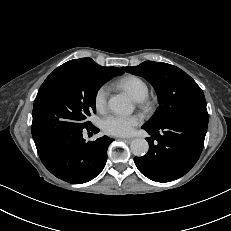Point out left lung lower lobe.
<instances>
[{"label":"left lung lower lobe","instance_id":"obj_1","mask_svg":"<svg viewBox=\"0 0 231 231\" xmlns=\"http://www.w3.org/2000/svg\"><path fill=\"white\" fill-rule=\"evenodd\" d=\"M208 120L207 111H194L159 126L143 125L142 128L151 135L146 138L149 151L143 157H134L136 167L156 182H170L182 177L200 157Z\"/></svg>","mask_w":231,"mask_h":231}]
</instances>
